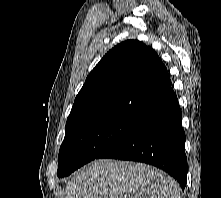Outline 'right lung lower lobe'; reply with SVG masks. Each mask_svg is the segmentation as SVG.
<instances>
[{"label": "right lung lower lobe", "instance_id": "right-lung-lower-lobe-1", "mask_svg": "<svg viewBox=\"0 0 221 198\" xmlns=\"http://www.w3.org/2000/svg\"><path fill=\"white\" fill-rule=\"evenodd\" d=\"M181 119L182 112L174 94L144 116L126 137L97 159L111 158L153 165L174 177L184 189L188 168Z\"/></svg>", "mask_w": 221, "mask_h": 198}]
</instances>
